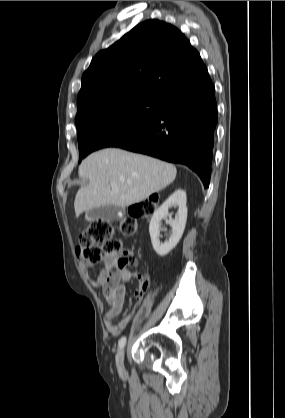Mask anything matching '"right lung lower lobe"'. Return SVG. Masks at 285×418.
<instances>
[{"label":"right lung lower lobe","instance_id":"98d812e1","mask_svg":"<svg viewBox=\"0 0 285 418\" xmlns=\"http://www.w3.org/2000/svg\"><path fill=\"white\" fill-rule=\"evenodd\" d=\"M217 121L215 87L207 73L162 102L158 116L148 126L115 147L184 164L208 188Z\"/></svg>","mask_w":285,"mask_h":418}]
</instances>
